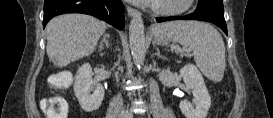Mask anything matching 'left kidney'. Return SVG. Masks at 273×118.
I'll return each instance as SVG.
<instances>
[{"instance_id": "5707ae66", "label": "left kidney", "mask_w": 273, "mask_h": 118, "mask_svg": "<svg viewBox=\"0 0 273 118\" xmlns=\"http://www.w3.org/2000/svg\"><path fill=\"white\" fill-rule=\"evenodd\" d=\"M180 77L183 78L185 85L192 89L195 106L187 101H181L179 104L181 112L186 118H206L211 106V97L198 68L193 64H187L180 70Z\"/></svg>"}]
</instances>
